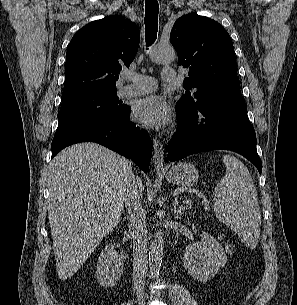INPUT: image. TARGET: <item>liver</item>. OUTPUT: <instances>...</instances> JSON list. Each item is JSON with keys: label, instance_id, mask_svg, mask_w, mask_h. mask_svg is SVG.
I'll use <instances>...</instances> for the list:
<instances>
[{"label": "liver", "instance_id": "liver-1", "mask_svg": "<svg viewBox=\"0 0 297 305\" xmlns=\"http://www.w3.org/2000/svg\"><path fill=\"white\" fill-rule=\"evenodd\" d=\"M132 175L129 160L92 142L74 144L50 162L48 218L61 280L116 227ZM138 187L143 191L139 178Z\"/></svg>", "mask_w": 297, "mask_h": 305}]
</instances>
